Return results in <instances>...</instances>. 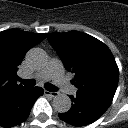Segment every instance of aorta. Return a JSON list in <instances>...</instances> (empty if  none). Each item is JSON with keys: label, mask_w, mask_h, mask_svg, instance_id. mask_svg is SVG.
Listing matches in <instances>:
<instances>
[{"label": "aorta", "mask_w": 128, "mask_h": 128, "mask_svg": "<svg viewBox=\"0 0 128 128\" xmlns=\"http://www.w3.org/2000/svg\"><path fill=\"white\" fill-rule=\"evenodd\" d=\"M27 61L33 66H41L45 63L46 57L42 49L33 48L26 56ZM71 99L66 94H58L53 99V107L59 113H66L71 108Z\"/></svg>", "instance_id": "762f6f07"}]
</instances>
